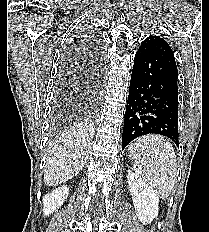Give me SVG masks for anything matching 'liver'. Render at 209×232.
I'll list each match as a JSON object with an SVG mask.
<instances>
[{"instance_id": "1", "label": "liver", "mask_w": 209, "mask_h": 232, "mask_svg": "<svg viewBox=\"0 0 209 232\" xmlns=\"http://www.w3.org/2000/svg\"><path fill=\"white\" fill-rule=\"evenodd\" d=\"M89 149V135L84 129L63 132L46 159L44 183L54 186L76 176L87 162Z\"/></svg>"}]
</instances>
